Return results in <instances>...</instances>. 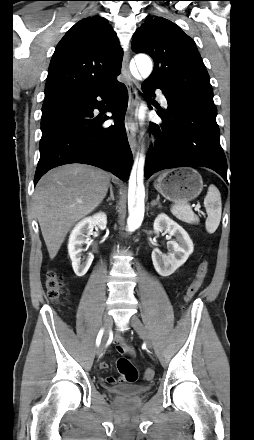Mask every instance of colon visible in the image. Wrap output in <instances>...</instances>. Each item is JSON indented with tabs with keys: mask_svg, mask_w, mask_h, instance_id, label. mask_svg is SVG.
Here are the masks:
<instances>
[{
	"mask_svg": "<svg viewBox=\"0 0 254 440\" xmlns=\"http://www.w3.org/2000/svg\"><path fill=\"white\" fill-rule=\"evenodd\" d=\"M209 270V264L207 261H202L197 269L193 281L187 288L185 294V301L189 302L199 291L204 278L206 277ZM45 287L47 295L51 300L57 301L63 295L64 283L61 275L55 271L50 270L47 273ZM117 369L120 374L124 377V380L129 383H134L138 379V371L136 367L126 358H120L117 360ZM154 377L153 369H146L144 372V378L147 381L152 380Z\"/></svg>",
	"mask_w": 254,
	"mask_h": 440,
	"instance_id": "1",
	"label": "colon"
}]
</instances>
